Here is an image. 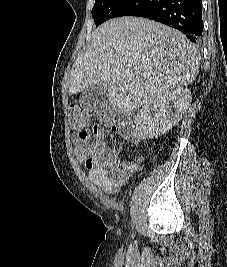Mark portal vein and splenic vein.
Returning <instances> with one entry per match:
<instances>
[{"label":"portal vein and splenic vein","instance_id":"18ae733b","mask_svg":"<svg viewBox=\"0 0 227 267\" xmlns=\"http://www.w3.org/2000/svg\"><path fill=\"white\" fill-rule=\"evenodd\" d=\"M127 74H129V75H130V71H127Z\"/></svg>","mask_w":227,"mask_h":267}]
</instances>
